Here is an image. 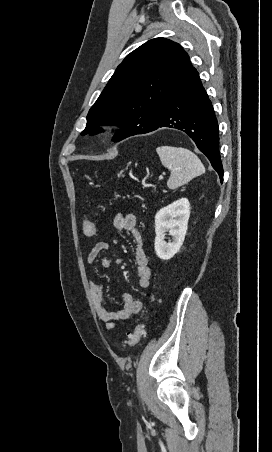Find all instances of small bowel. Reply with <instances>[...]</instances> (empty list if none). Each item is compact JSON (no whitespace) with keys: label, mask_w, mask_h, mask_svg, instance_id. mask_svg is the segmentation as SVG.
<instances>
[{"label":"small bowel","mask_w":272,"mask_h":452,"mask_svg":"<svg viewBox=\"0 0 272 452\" xmlns=\"http://www.w3.org/2000/svg\"><path fill=\"white\" fill-rule=\"evenodd\" d=\"M114 226L118 230L128 232L131 236L135 247V263L138 274L137 285L141 289H147L150 286L152 271L149 266L142 235L137 228L136 216L133 213L119 212L114 218ZM108 249V242H97L87 255V263L93 264L99 258L100 254ZM100 263L103 267H109L112 264V260L102 257ZM89 287L97 315L106 323L109 329L127 323L134 315L140 313L144 307L143 301L126 294L123 296L122 309L114 311L108 306L105 300L102 284L95 280H90Z\"/></svg>","instance_id":"obj_1"}]
</instances>
